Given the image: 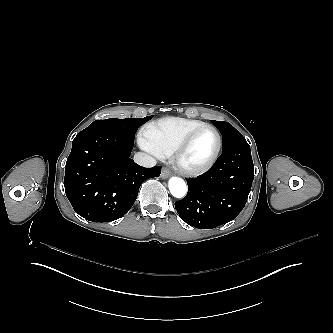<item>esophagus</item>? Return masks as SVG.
I'll list each match as a JSON object with an SVG mask.
<instances>
[{"label":"esophagus","mask_w":333,"mask_h":333,"mask_svg":"<svg viewBox=\"0 0 333 333\" xmlns=\"http://www.w3.org/2000/svg\"><path fill=\"white\" fill-rule=\"evenodd\" d=\"M170 175H171V173L167 168H165V167L162 168V172H161V175H160V177L162 179H167Z\"/></svg>","instance_id":"obj_1"}]
</instances>
